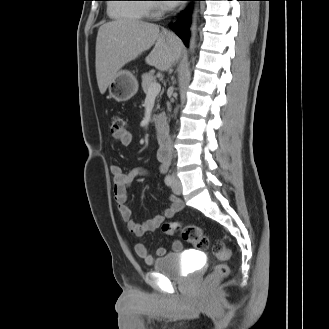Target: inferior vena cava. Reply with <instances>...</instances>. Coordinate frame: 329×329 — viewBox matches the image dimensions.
<instances>
[{
	"mask_svg": "<svg viewBox=\"0 0 329 329\" xmlns=\"http://www.w3.org/2000/svg\"><path fill=\"white\" fill-rule=\"evenodd\" d=\"M168 148H169L170 151H173V149H172V142L171 141H169V143H168Z\"/></svg>",
	"mask_w": 329,
	"mask_h": 329,
	"instance_id": "602c4592",
	"label": "inferior vena cava"
}]
</instances>
